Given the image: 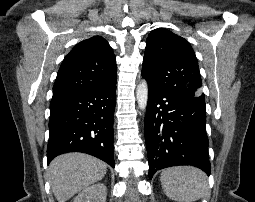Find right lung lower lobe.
<instances>
[{"mask_svg": "<svg viewBox=\"0 0 255 202\" xmlns=\"http://www.w3.org/2000/svg\"><path fill=\"white\" fill-rule=\"evenodd\" d=\"M116 81L96 89L53 97L48 163L67 152L93 155L114 167L113 122Z\"/></svg>", "mask_w": 255, "mask_h": 202, "instance_id": "obj_1", "label": "right lung lower lobe"}]
</instances>
